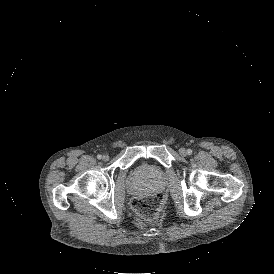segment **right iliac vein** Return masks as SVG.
<instances>
[{
  "label": "right iliac vein",
  "mask_w": 274,
  "mask_h": 274,
  "mask_svg": "<svg viewBox=\"0 0 274 274\" xmlns=\"http://www.w3.org/2000/svg\"><path fill=\"white\" fill-rule=\"evenodd\" d=\"M102 160L105 161V162H107L109 160V155L108 154H104L102 156Z\"/></svg>",
  "instance_id": "obj_1"
}]
</instances>
